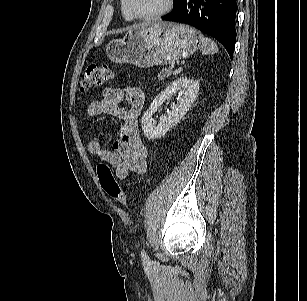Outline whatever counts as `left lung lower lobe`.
I'll return each mask as SVG.
<instances>
[{"label": "left lung lower lobe", "instance_id": "left-lung-lower-lobe-1", "mask_svg": "<svg viewBox=\"0 0 307 301\" xmlns=\"http://www.w3.org/2000/svg\"><path fill=\"white\" fill-rule=\"evenodd\" d=\"M236 0H180L166 21L189 24L218 40L233 58Z\"/></svg>", "mask_w": 307, "mask_h": 301}]
</instances>
